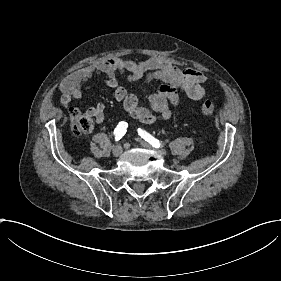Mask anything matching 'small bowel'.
Masks as SVG:
<instances>
[{"mask_svg": "<svg viewBox=\"0 0 281 281\" xmlns=\"http://www.w3.org/2000/svg\"><path fill=\"white\" fill-rule=\"evenodd\" d=\"M126 74L130 81L145 79L162 80L164 85L157 92L146 96L149 107H140L136 96L128 94L118 84L117 74ZM104 76L105 84L113 90V97L123 104L135 119L144 123L167 121L171 118L170 105L177 106L181 96L199 101L206 96L202 84L204 74L195 68L178 69L160 59L149 58L142 62H135L124 58H111L99 61L85 67L69 77L59 86V95L64 105H70L82 97V87L93 79ZM105 104L96 103L93 109L88 110V115L94 117L100 126L105 114Z\"/></svg>", "mask_w": 281, "mask_h": 281, "instance_id": "c3829d8e", "label": "small bowel"}]
</instances>
